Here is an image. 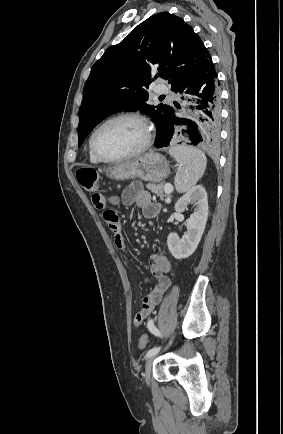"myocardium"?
<instances>
[{"label": "myocardium", "instance_id": "f54148a6", "mask_svg": "<svg viewBox=\"0 0 283 434\" xmlns=\"http://www.w3.org/2000/svg\"><path fill=\"white\" fill-rule=\"evenodd\" d=\"M122 119H130V120H134L137 121L139 124H141V126L144 129V133H145V138H144V142L142 143V145L135 151L128 153L126 155L123 156H119V157H114V158H108L105 157L103 155H101L98 150L96 149L95 146V138L96 135L98 134V132L107 124L114 122V121H118V120H122ZM152 140H153V129H152V125L149 121V119L139 113V112H123V113H119L116 114L114 116H111L109 118H107L106 120H104L102 123H100L92 132L90 139H89V148L92 152V154L100 161V162H104V163H116V162H121V161H125L134 157H137L141 154H143L145 151H147L149 149V147L152 144Z\"/></svg>", "mask_w": 283, "mask_h": 434}]
</instances>
